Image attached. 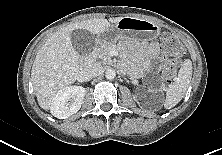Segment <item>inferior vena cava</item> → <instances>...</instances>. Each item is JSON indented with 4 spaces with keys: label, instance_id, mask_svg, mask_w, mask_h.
Segmentation results:
<instances>
[{
    "label": "inferior vena cava",
    "instance_id": "inferior-vena-cava-1",
    "mask_svg": "<svg viewBox=\"0 0 222 155\" xmlns=\"http://www.w3.org/2000/svg\"><path fill=\"white\" fill-rule=\"evenodd\" d=\"M102 71V66L100 64L94 63L87 65L80 73V77L84 81H89L95 76L100 74Z\"/></svg>",
    "mask_w": 222,
    "mask_h": 155
}]
</instances>
